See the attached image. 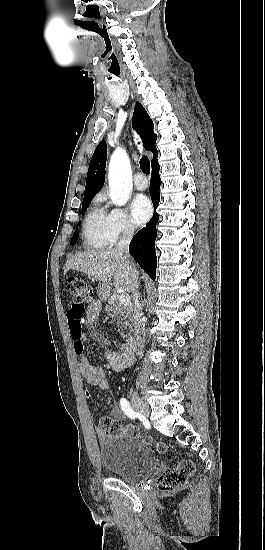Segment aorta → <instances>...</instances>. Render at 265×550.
Here are the masks:
<instances>
[{
	"label": "aorta",
	"instance_id": "762f6f07",
	"mask_svg": "<svg viewBox=\"0 0 265 550\" xmlns=\"http://www.w3.org/2000/svg\"><path fill=\"white\" fill-rule=\"evenodd\" d=\"M110 199L114 205L123 206L132 190V172L127 153L117 148L109 163Z\"/></svg>",
	"mask_w": 265,
	"mask_h": 550
}]
</instances>
